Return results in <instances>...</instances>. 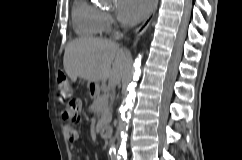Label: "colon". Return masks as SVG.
<instances>
[{
    "label": "colon",
    "mask_w": 242,
    "mask_h": 160,
    "mask_svg": "<svg viewBox=\"0 0 242 160\" xmlns=\"http://www.w3.org/2000/svg\"><path fill=\"white\" fill-rule=\"evenodd\" d=\"M58 87V99L60 103H66L67 107H70V111L68 112V118L76 120L78 116V111L76 109L75 102L71 100L72 88L63 73L58 74Z\"/></svg>",
    "instance_id": "obj_1"
}]
</instances>
